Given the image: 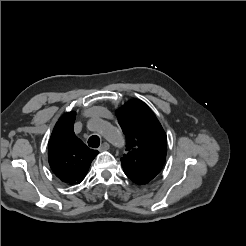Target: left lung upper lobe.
I'll return each mask as SVG.
<instances>
[{
    "mask_svg": "<svg viewBox=\"0 0 246 246\" xmlns=\"http://www.w3.org/2000/svg\"><path fill=\"white\" fill-rule=\"evenodd\" d=\"M126 137L127 154L121 163L127 177L151 181L162 169L167 153V137L152 110L133 99L116 111Z\"/></svg>",
    "mask_w": 246,
    "mask_h": 246,
    "instance_id": "5c2ea615",
    "label": "left lung upper lobe"
}]
</instances>
